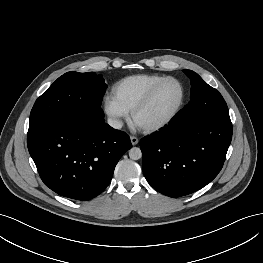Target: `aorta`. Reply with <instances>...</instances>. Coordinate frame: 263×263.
<instances>
[{
    "label": "aorta",
    "instance_id": "1",
    "mask_svg": "<svg viewBox=\"0 0 263 263\" xmlns=\"http://www.w3.org/2000/svg\"><path fill=\"white\" fill-rule=\"evenodd\" d=\"M142 156V152H141V149L138 148V147H132L130 150H129V157L132 159V160H139Z\"/></svg>",
    "mask_w": 263,
    "mask_h": 263
}]
</instances>
